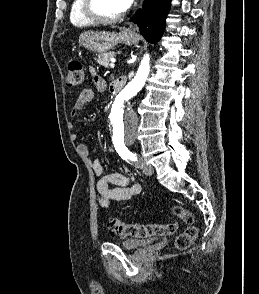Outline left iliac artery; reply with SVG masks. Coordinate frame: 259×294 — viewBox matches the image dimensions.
Here are the masks:
<instances>
[{"label": "left iliac artery", "instance_id": "obj_1", "mask_svg": "<svg viewBox=\"0 0 259 294\" xmlns=\"http://www.w3.org/2000/svg\"><path fill=\"white\" fill-rule=\"evenodd\" d=\"M114 147L117 153L121 156L124 160H130L132 162L138 161V156L136 153H132L128 150V148L124 145V143L113 142Z\"/></svg>", "mask_w": 259, "mask_h": 294}]
</instances>
